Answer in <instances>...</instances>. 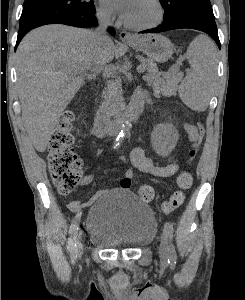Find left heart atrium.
<instances>
[{
  "instance_id": "39dd6f15",
  "label": "left heart atrium",
  "mask_w": 245,
  "mask_h": 300,
  "mask_svg": "<svg viewBox=\"0 0 245 300\" xmlns=\"http://www.w3.org/2000/svg\"><path fill=\"white\" fill-rule=\"evenodd\" d=\"M105 2L112 5L117 10H120V16L125 19L128 7L132 0H104Z\"/></svg>"
}]
</instances>
